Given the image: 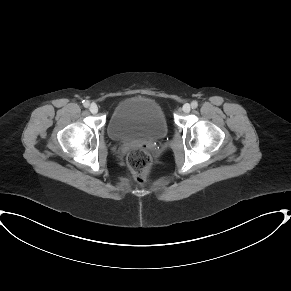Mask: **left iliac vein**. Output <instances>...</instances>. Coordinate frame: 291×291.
I'll return each mask as SVG.
<instances>
[{
  "label": "left iliac vein",
  "instance_id": "4c4485c4",
  "mask_svg": "<svg viewBox=\"0 0 291 291\" xmlns=\"http://www.w3.org/2000/svg\"><path fill=\"white\" fill-rule=\"evenodd\" d=\"M182 109L185 113H189L191 110V106H190V104L186 103L183 105Z\"/></svg>",
  "mask_w": 291,
  "mask_h": 291
}]
</instances>
